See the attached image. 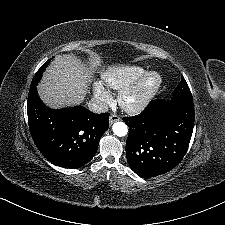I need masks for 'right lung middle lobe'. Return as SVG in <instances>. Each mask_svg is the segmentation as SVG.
I'll list each match as a JSON object with an SVG mask.
<instances>
[{"mask_svg":"<svg viewBox=\"0 0 225 225\" xmlns=\"http://www.w3.org/2000/svg\"><path fill=\"white\" fill-rule=\"evenodd\" d=\"M51 59H49L35 74V76L33 77V80L31 82V86L30 88L32 87H36L38 82L40 81L41 77H42V74L43 72L45 71L46 67L48 66L49 62H50Z\"/></svg>","mask_w":225,"mask_h":225,"instance_id":"dd1d6c3e","label":"right lung middle lobe"}]
</instances>
